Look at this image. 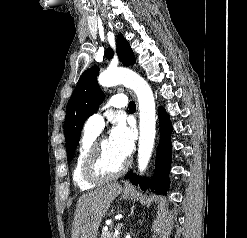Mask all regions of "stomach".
<instances>
[{"label": "stomach", "mask_w": 247, "mask_h": 238, "mask_svg": "<svg viewBox=\"0 0 247 238\" xmlns=\"http://www.w3.org/2000/svg\"><path fill=\"white\" fill-rule=\"evenodd\" d=\"M130 196H131L130 192H128V191H126V190H124V191L122 192V198H123V199H128Z\"/></svg>", "instance_id": "stomach-1"}]
</instances>
